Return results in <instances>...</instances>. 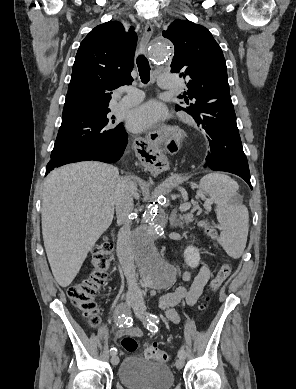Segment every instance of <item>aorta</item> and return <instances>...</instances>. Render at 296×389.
<instances>
[{"instance_id":"1","label":"aorta","mask_w":296,"mask_h":389,"mask_svg":"<svg viewBox=\"0 0 296 389\" xmlns=\"http://www.w3.org/2000/svg\"><path fill=\"white\" fill-rule=\"evenodd\" d=\"M174 53L167 40L154 41L150 52L152 66H170ZM164 202L163 199L158 202ZM162 206L151 203L146 208L141 224L131 237V249L137 258L143 283L153 289L170 287L175 278L174 267L165 261L158 252L156 242L164 228Z\"/></svg>"}]
</instances>
